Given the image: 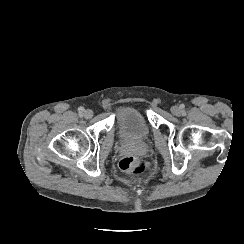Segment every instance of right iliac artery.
<instances>
[{"label":"right iliac artery","instance_id":"right-iliac-artery-1","mask_svg":"<svg viewBox=\"0 0 244 244\" xmlns=\"http://www.w3.org/2000/svg\"><path fill=\"white\" fill-rule=\"evenodd\" d=\"M78 111H79L80 114H82L84 112V108L83 107H79Z\"/></svg>","mask_w":244,"mask_h":244}]
</instances>
